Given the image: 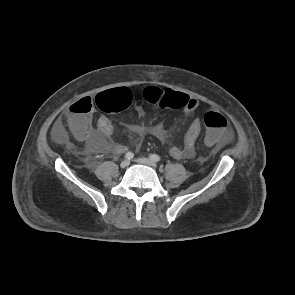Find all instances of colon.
Returning <instances> with one entry per match:
<instances>
[{
    "label": "colon",
    "mask_w": 295,
    "mask_h": 295,
    "mask_svg": "<svg viewBox=\"0 0 295 295\" xmlns=\"http://www.w3.org/2000/svg\"><path fill=\"white\" fill-rule=\"evenodd\" d=\"M143 99L160 108H183L188 96L181 92L171 90H162L156 87H147L143 91ZM132 102V93L126 87H118L103 91L94 98L85 97L69 108V124L71 128L76 129L79 120L89 114L93 107L99 110L111 113L118 112L127 108ZM206 126V135L204 143L206 146H213L229 136L227 119L219 112L209 111L204 116Z\"/></svg>",
    "instance_id": "colon-1"
}]
</instances>
